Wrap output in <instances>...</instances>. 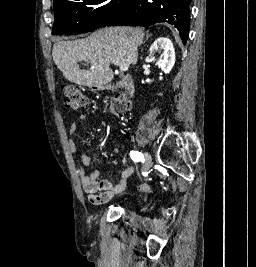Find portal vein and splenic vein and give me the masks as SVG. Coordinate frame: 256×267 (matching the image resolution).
I'll list each match as a JSON object with an SVG mask.
<instances>
[{
	"mask_svg": "<svg viewBox=\"0 0 256 267\" xmlns=\"http://www.w3.org/2000/svg\"><path fill=\"white\" fill-rule=\"evenodd\" d=\"M115 64L116 66H119L120 72H126V70H128L129 68V64H126V62H122V60H117Z\"/></svg>",
	"mask_w": 256,
	"mask_h": 267,
	"instance_id": "18ae733b",
	"label": "portal vein and splenic vein"
}]
</instances>
